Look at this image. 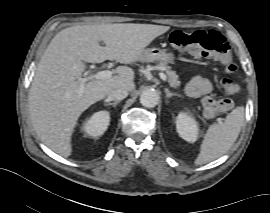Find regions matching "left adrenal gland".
Wrapping results in <instances>:
<instances>
[{"mask_svg": "<svg viewBox=\"0 0 270 213\" xmlns=\"http://www.w3.org/2000/svg\"><path fill=\"white\" fill-rule=\"evenodd\" d=\"M165 94H166V98H170V97H172V96H179V95L176 94V93L170 92L168 88H165Z\"/></svg>", "mask_w": 270, "mask_h": 213, "instance_id": "1", "label": "left adrenal gland"}]
</instances>
